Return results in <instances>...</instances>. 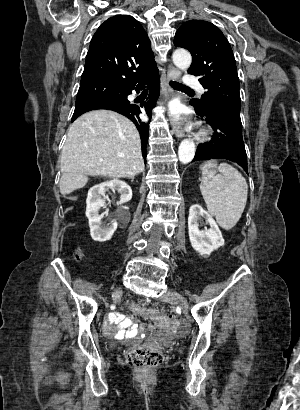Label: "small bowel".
<instances>
[{
  "instance_id": "c3829d8e",
  "label": "small bowel",
  "mask_w": 300,
  "mask_h": 410,
  "mask_svg": "<svg viewBox=\"0 0 300 410\" xmlns=\"http://www.w3.org/2000/svg\"><path fill=\"white\" fill-rule=\"evenodd\" d=\"M165 327L166 325L158 326L157 329ZM137 331L138 329L135 322L119 312L112 313L108 316V322L104 328V333L108 337H129L136 334Z\"/></svg>"
}]
</instances>
